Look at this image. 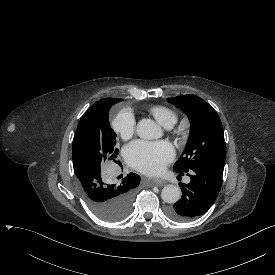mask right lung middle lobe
Here are the masks:
<instances>
[{"label": "right lung middle lobe", "instance_id": "1", "mask_svg": "<svg viewBox=\"0 0 275 275\" xmlns=\"http://www.w3.org/2000/svg\"><path fill=\"white\" fill-rule=\"evenodd\" d=\"M122 101L91 107L82 116L73 140V166L82 197L100 218L118 221L132 206L140 177L129 173L115 149L116 133L110 127V108Z\"/></svg>", "mask_w": 275, "mask_h": 275}]
</instances>
